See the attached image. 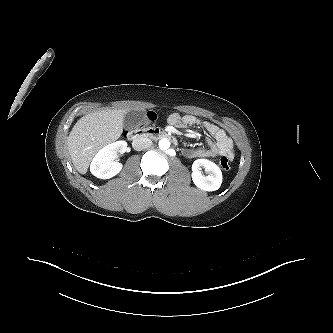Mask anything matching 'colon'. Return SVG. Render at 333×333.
<instances>
[{
  "instance_id": "5ec220e1",
  "label": "colon",
  "mask_w": 333,
  "mask_h": 333,
  "mask_svg": "<svg viewBox=\"0 0 333 333\" xmlns=\"http://www.w3.org/2000/svg\"><path fill=\"white\" fill-rule=\"evenodd\" d=\"M156 119L154 112L149 111L145 116V123H151ZM219 166L223 170H228L230 168V158L226 155H223L219 160Z\"/></svg>"
}]
</instances>
